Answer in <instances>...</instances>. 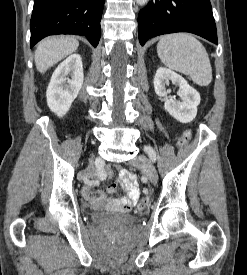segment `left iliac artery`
<instances>
[{
	"label": "left iliac artery",
	"instance_id": "1",
	"mask_svg": "<svg viewBox=\"0 0 247 275\" xmlns=\"http://www.w3.org/2000/svg\"><path fill=\"white\" fill-rule=\"evenodd\" d=\"M144 150L147 152V154L149 155L150 159L153 162H155L156 158H157L155 150L152 147H150V146H145Z\"/></svg>",
	"mask_w": 247,
	"mask_h": 275
}]
</instances>
